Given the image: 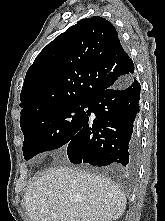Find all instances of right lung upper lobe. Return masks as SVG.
I'll return each instance as SVG.
<instances>
[{
    "label": "right lung upper lobe",
    "mask_w": 165,
    "mask_h": 221,
    "mask_svg": "<svg viewBox=\"0 0 165 221\" xmlns=\"http://www.w3.org/2000/svg\"><path fill=\"white\" fill-rule=\"evenodd\" d=\"M134 72L115 27L100 16L82 19L50 42L28 69L20 123L47 110L89 103Z\"/></svg>",
    "instance_id": "right-lung-upper-lobe-1"
}]
</instances>
